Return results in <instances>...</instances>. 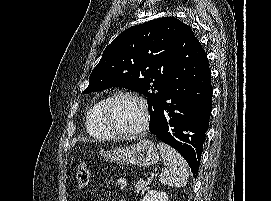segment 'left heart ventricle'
Masks as SVG:
<instances>
[{
  "label": "left heart ventricle",
  "instance_id": "left-heart-ventricle-1",
  "mask_svg": "<svg viewBox=\"0 0 271 201\" xmlns=\"http://www.w3.org/2000/svg\"><path fill=\"white\" fill-rule=\"evenodd\" d=\"M110 116L119 130L131 131L138 128L142 123L143 110L135 99L123 96L112 103Z\"/></svg>",
  "mask_w": 271,
  "mask_h": 201
}]
</instances>
